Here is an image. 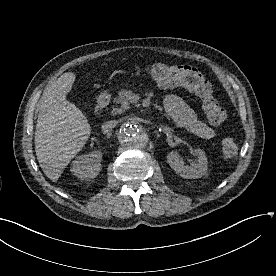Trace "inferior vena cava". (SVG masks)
<instances>
[{
    "mask_svg": "<svg viewBox=\"0 0 276 276\" xmlns=\"http://www.w3.org/2000/svg\"><path fill=\"white\" fill-rule=\"evenodd\" d=\"M118 124V121L116 120H109L107 122H105L102 125V130L104 133H108L110 131H112V129Z\"/></svg>",
    "mask_w": 276,
    "mask_h": 276,
    "instance_id": "obj_1",
    "label": "inferior vena cava"
}]
</instances>
